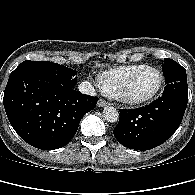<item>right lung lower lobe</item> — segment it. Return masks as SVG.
Here are the masks:
<instances>
[{
	"label": "right lung lower lobe",
	"instance_id": "right-lung-lower-lobe-1",
	"mask_svg": "<svg viewBox=\"0 0 195 195\" xmlns=\"http://www.w3.org/2000/svg\"><path fill=\"white\" fill-rule=\"evenodd\" d=\"M73 87L60 89L56 80L42 72L14 70L4 91L3 104L16 133L42 150L67 145L82 117L98 101Z\"/></svg>",
	"mask_w": 195,
	"mask_h": 195
}]
</instances>
